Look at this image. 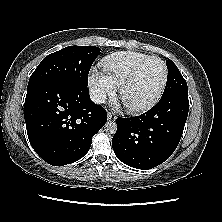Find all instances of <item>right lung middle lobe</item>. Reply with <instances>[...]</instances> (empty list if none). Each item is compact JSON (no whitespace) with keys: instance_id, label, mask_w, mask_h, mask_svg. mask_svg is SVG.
<instances>
[{"instance_id":"right-lung-middle-lobe-1","label":"right lung middle lobe","mask_w":222,"mask_h":222,"mask_svg":"<svg viewBox=\"0 0 222 222\" xmlns=\"http://www.w3.org/2000/svg\"><path fill=\"white\" fill-rule=\"evenodd\" d=\"M100 50L95 46H69L46 56L31 75L28 88L47 81L87 87L89 70Z\"/></svg>"}]
</instances>
